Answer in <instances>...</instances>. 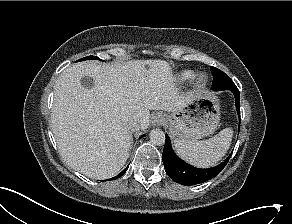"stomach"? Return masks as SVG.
Instances as JSON below:
<instances>
[{"label":"stomach","mask_w":292,"mask_h":224,"mask_svg":"<svg viewBox=\"0 0 292 224\" xmlns=\"http://www.w3.org/2000/svg\"><path fill=\"white\" fill-rule=\"evenodd\" d=\"M219 121V99L208 91L195 95L184 108L167 116L170 135L174 139L190 141L212 134Z\"/></svg>","instance_id":"stomach-1"}]
</instances>
